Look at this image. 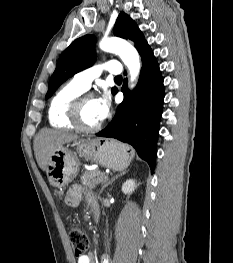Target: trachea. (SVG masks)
<instances>
[{
    "label": "trachea",
    "instance_id": "1",
    "mask_svg": "<svg viewBox=\"0 0 233 263\" xmlns=\"http://www.w3.org/2000/svg\"><path fill=\"white\" fill-rule=\"evenodd\" d=\"M115 81H122V76H117L114 78Z\"/></svg>",
    "mask_w": 233,
    "mask_h": 263
}]
</instances>
